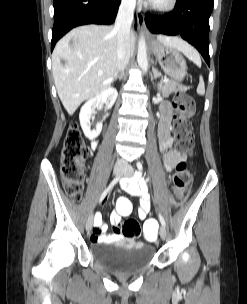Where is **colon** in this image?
Masks as SVG:
<instances>
[{
	"instance_id": "obj_1",
	"label": "colon",
	"mask_w": 247,
	"mask_h": 304,
	"mask_svg": "<svg viewBox=\"0 0 247 304\" xmlns=\"http://www.w3.org/2000/svg\"><path fill=\"white\" fill-rule=\"evenodd\" d=\"M174 110V133L177 149L181 154H189L194 146L190 118L195 112V102L192 97L186 94H177L174 100ZM87 154L88 149L78 124L73 122L64 140L60 172L64 189L75 201L81 199ZM173 182L175 190L181 198L191 182V174L185 162L181 161L178 163ZM116 207L118 213L122 215H127L132 210L131 203L127 199H120ZM121 230L128 238L135 239L141 235V226L134 219L126 220ZM155 230V222L148 221L145 225V231L142 232V237L155 238Z\"/></svg>"
}]
</instances>
